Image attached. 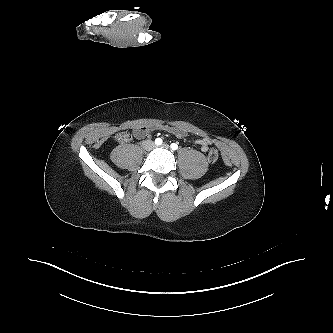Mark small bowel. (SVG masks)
I'll use <instances>...</instances> for the list:
<instances>
[{"label":"small bowel","instance_id":"obj_1","mask_svg":"<svg viewBox=\"0 0 333 333\" xmlns=\"http://www.w3.org/2000/svg\"><path fill=\"white\" fill-rule=\"evenodd\" d=\"M165 131L177 136V137H184L187 135V131L182 127L177 126H167L163 128ZM150 132V128L145 126H138L133 129L134 137L137 139H142L147 136ZM196 143L200 146L203 152H207L211 141L207 137H202L196 140Z\"/></svg>","mask_w":333,"mask_h":333}]
</instances>
